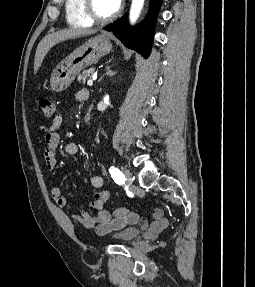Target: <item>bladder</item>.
Here are the masks:
<instances>
[{"label": "bladder", "mask_w": 255, "mask_h": 287, "mask_svg": "<svg viewBox=\"0 0 255 287\" xmlns=\"http://www.w3.org/2000/svg\"><path fill=\"white\" fill-rule=\"evenodd\" d=\"M141 233L138 226L128 225L117 229L112 233L111 237L114 241L130 242L135 240Z\"/></svg>", "instance_id": "obj_1"}]
</instances>
